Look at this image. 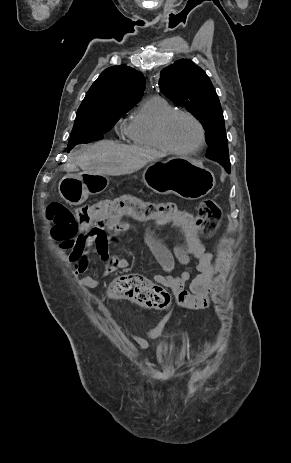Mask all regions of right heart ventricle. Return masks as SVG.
<instances>
[{"mask_svg": "<svg viewBox=\"0 0 291 463\" xmlns=\"http://www.w3.org/2000/svg\"><path fill=\"white\" fill-rule=\"evenodd\" d=\"M175 110L160 96L145 99L126 126L128 140L139 146L165 151L158 136V127L162 119Z\"/></svg>", "mask_w": 291, "mask_h": 463, "instance_id": "e07e8e85", "label": "right heart ventricle"}]
</instances>
